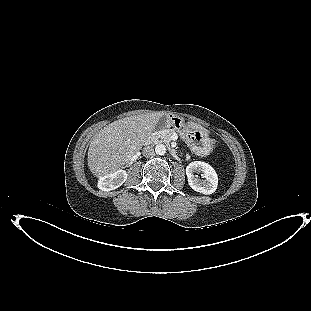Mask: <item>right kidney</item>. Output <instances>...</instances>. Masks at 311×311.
<instances>
[{
  "instance_id": "1",
  "label": "right kidney",
  "mask_w": 311,
  "mask_h": 311,
  "mask_svg": "<svg viewBox=\"0 0 311 311\" xmlns=\"http://www.w3.org/2000/svg\"><path fill=\"white\" fill-rule=\"evenodd\" d=\"M127 179V173L124 170H117L104 177L98 182V188L103 191H111L120 187Z\"/></svg>"
}]
</instances>
